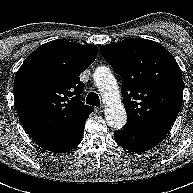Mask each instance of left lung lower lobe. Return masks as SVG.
<instances>
[{
	"mask_svg": "<svg viewBox=\"0 0 193 193\" xmlns=\"http://www.w3.org/2000/svg\"><path fill=\"white\" fill-rule=\"evenodd\" d=\"M169 129L170 127L162 125L124 127L114 132V139L127 150L142 153L158 145Z\"/></svg>",
	"mask_w": 193,
	"mask_h": 193,
	"instance_id": "obj_1",
	"label": "left lung lower lobe"
}]
</instances>
